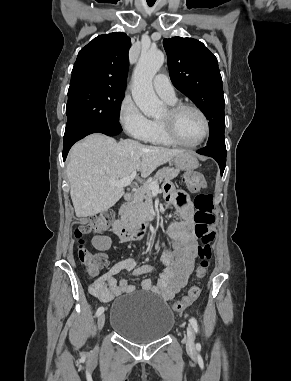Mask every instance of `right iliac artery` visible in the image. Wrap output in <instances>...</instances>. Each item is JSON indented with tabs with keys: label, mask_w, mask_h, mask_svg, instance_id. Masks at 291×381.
Wrapping results in <instances>:
<instances>
[{
	"label": "right iliac artery",
	"mask_w": 291,
	"mask_h": 381,
	"mask_svg": "<svg viewBox=\"0 0 291 381\" xmlns=\"http://www.w3.org/2000/svg\"><path fill=\"white\" fill-rule=\"evenodd\" d=\"M104 312V307H99L96 311V316H100Z\"/></svg>",
	"instance_id": "82829eb1"
}]
</instances>
